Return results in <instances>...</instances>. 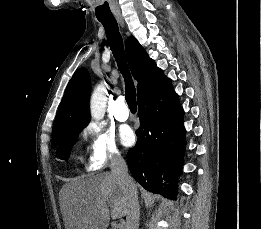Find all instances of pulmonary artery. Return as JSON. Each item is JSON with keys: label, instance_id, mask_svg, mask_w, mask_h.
Instances as JSON below:
<instances>
[{"label": "pulmonary artery", "instance_id": "e3ab8cb5", "mask_svg": "<svg viewBox=\"0 0 261 229\" xmlns=\"http://www.w3.org/2000/svg\"><path fill=\"white\" fill-rule=\"evenodd\" d=\"M113 112H114L115 118L118 121L124 122V121L128 120L129 110L124 102L123 96L118 97L117 101L114 104Z\"/></svg>", "mask_w": 261, "mask_h": 229}]
</instances>
